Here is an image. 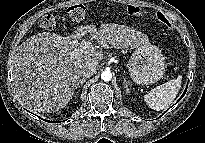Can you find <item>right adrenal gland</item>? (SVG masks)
Returning a JSON list of instances; mask_svg holds the SVG:
<instances>
[{"instance_id":"obj_1","label":"right adrenal gland","mask_w":205,"mask_h":143,"mask_svg":"<svg viewBox=\"0 0 205 143\" xmlns=\"http://www.w3.org/2000/svg\"><path fill=\"white\" fill-rule=\"evenodd\" d=\"M86 81V78L80 79V81L77 84V88H80V85L83 84ZM79 92V90H78Z\"/></svg>"}]
</instances>
